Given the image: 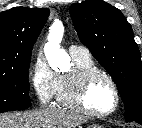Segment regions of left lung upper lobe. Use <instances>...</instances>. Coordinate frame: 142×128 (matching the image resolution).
I'll return each mask as SVG.
<instances>
[{
	"mask_svg": "<svg viewBox=\"0 0 142 128\" xmlns=\"http://www.w3.org/2000/svg\"><path fill=\"white\" fill-rule=\"evenodd\" d=\"M70 14L80 41L117 84L126 122L142 125V62L131 25L102 0L75 3Z\"/></svg>",
	"mask_w": 142,
	"mask_h": 128,
	"instance_id": "left-lung-upper-lobe-1",
	"label": "left lung upper lobe"
}]
</instances>
